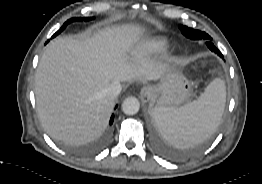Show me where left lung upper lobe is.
Listing matches in <instances>:
<instances>
[{"mask_svg":"<svg viewBox=\"0 0 262 184\" xmlns=\"http://www.w3.org/2000/svg\"><path fill=\"white\" fill-rule=\"evenodd\" d=\"M179 28L181 29L182 33L190 39H205V40H212V38L205 32L195 30L192 28H188L187 26L180 25Z\"/></svg>","mask_w":262,"mask_h":184,"instance_id":"left-lung-upper-lobe-1","label":"left lung upper lobe"}]
</instances>
